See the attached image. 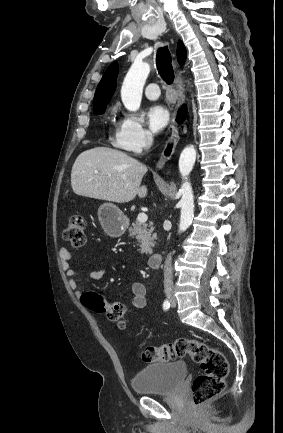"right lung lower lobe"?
Returning <instances> with one entry per match:
<instances>
[{
	"label": "right lung lower lobe",
	"instance_id": "98d812e1",
	"mask_svg": "<svg viewBox=\"0 0 283 433\" xmlns=\"http://www.w3.org/2000/svg\"><path fill=\"white\" fill-rule=\"evenodd\" d=\"M185 114H186V108H185V106H183V107L180 109V111L178 112V121H179V122H181V121L184 119Z\"/></svg>",
	"mask_w": 283,
	"mask_h": 433
}]
</instances>
